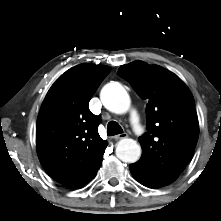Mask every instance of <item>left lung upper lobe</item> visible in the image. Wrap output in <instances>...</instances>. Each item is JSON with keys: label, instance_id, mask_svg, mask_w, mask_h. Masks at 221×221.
<instances>
[{"label": "left lung upper lobe", "instance_id": "left-lung-upper-lobe-1", "mask_svg": "<svg viewBox=\"0 0 221 221\" xmlns=\"http://www.w3.org/2000/svg\"><path fill=\"white\" fill-rule=\"evenodd\" d=\"M118 75L148 102V133L139 138L143 152L134 163L140 180L150 188L166 186L186 167L198 140L194 98L178 76L161 66L137 60L121 66Z\"/></svg>", "mask_w": 221, "mask_h": 221}]
</instances>
